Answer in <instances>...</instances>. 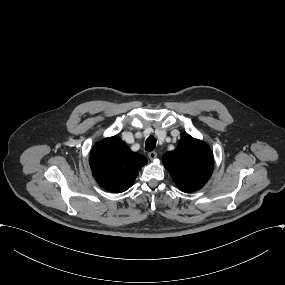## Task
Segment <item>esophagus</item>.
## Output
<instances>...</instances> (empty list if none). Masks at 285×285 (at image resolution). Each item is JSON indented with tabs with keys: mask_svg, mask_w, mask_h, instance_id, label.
Listing matches in <instances>:
<instances>
[{
	"mask_svg": "<svg viewBox=\"0 0 285 285\" xmlns=\"http://www.w3.org/2000/svg\"><path fill=\"white\" fill-rule=\"evenodd\" d=\"M148 157L150 160H154L157 157V153L155 151H151L148 153Z\"/></svg>",
	"mask_w": 285,
	"mask_h": 285,
	"instance_id": "1",
	"label": "esophagus"
}]
</instances>
